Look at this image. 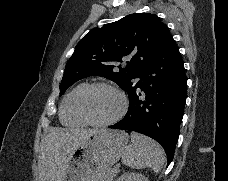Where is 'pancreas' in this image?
Masks as SVG:
<instances>
[{"instance_id": "1", "label": "pancreas", "mask_w": 228, "mask_h": 181, "mask_svg": "<svg viewBox=\"0 0 228 181\" xmlns=\"http://www.w3.org/2000/svg\"><path fill=\"white\" fill-rule=\"evenodd\" d=\"M113 177H116L115 169H112V171H110V175L108 177L109 181H112Z\"/></svg>"}]
</instances>
